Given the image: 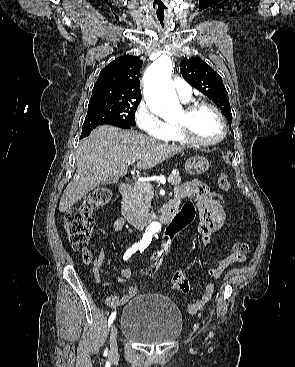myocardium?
Here are the masks:
<instances>
[{"instance_id":"obj_1","label":"myocardium","mask_w":295,"mask_h":367,"mask_svg":"<svg viewBox=\"0 0 295 367\" xmlns=\"http://www.w3.org/2000/svg\"><path fill=\"white\" fill-rule=\"evenodd\" d=\"M210 108L211 110H213L215 112V114L218 116L221 126H222V133L221 135L212 141H202L200 139H198L193 131L192 128L190 126V118L194 115V113L199 110L200 108ZM184 112L186 114L187 120L184 122H177L176 126L179 129L180 133L183 135V137L191 144L195 145V146H200V147H210V146H215L219 143H221L226 135H227V123L225 120V117L223 115V113L221 112V110L215 106L212 103H209L207 101H197V102H193L189 105H187L184 109Z\"/></svg>"}]
</instances>
